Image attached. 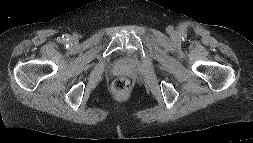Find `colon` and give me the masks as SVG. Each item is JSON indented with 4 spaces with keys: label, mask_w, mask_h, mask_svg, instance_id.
Segmentation results:
<instances>
[{
    "label": "colon",
    "mask_w": 253,
    "mask_h": 143,
    "mask_svg": "<svg viewBox=\"0 0 253 143\" xmlns=\"http://www.w3.org/2000/svg\"><path fill=\"white\" fill-rule=\"evenodd\" d=\"M130 87V82L125 77H118L113 81L112 88L116 93H123Z\"/></svg>",
    "instance_id": "colon-1"
}]
</instances>
